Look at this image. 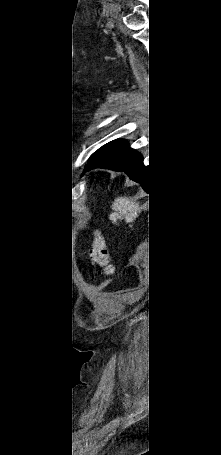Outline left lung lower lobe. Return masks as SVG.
Instances as JSON below:
<instances>
[{
	"mask_svg": "<svg viewBox=\"0 0 221 455\" xmlns=\"http://www.w3.org/2000/svg\"><path fill=\"white\" fill-rule=\"evenodd\" d=\"M93 168L124 171L132 180L140 183L147 192L150 190L152 169L150 166L144 165L142 155L130 148L125 140L117 139L108 143L89 160L85 171Z\"/></svg>",
	"mask_w": 221,
	"mask_h": 455,
	"instance_id": "0a47b994",
	"label": "left lung lower lobe"
}]
</instances>
